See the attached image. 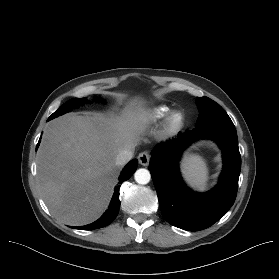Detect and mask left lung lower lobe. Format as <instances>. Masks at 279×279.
Here are the masks:
<instances>
[{
  "label": "left lung lower lobe",
  "instance_id": "1",
  "mask_svg": "<svg viewBox=\"0 0 279 279\" xmlns=\"http://www.w3.org/2000/svg\"><path fill=\"white\" fill-rule=\"evenodd\" d=\"M199 138H212L222 149L224 167L219 183L208 193H195L183 183L178 170L182 151ZM149 170L164 219L188 231L206 229L222 218L233 205L238 188L241 156L233 123H211L157 145Z\"/></svg>",
  "mask_w": 279,
  "mask_h": 279
}]
</instances>
